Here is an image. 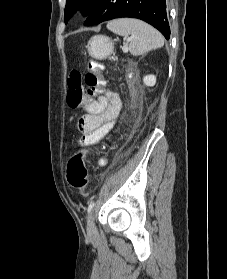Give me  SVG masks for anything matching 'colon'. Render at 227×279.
<instances>
[{
  "label": "colon",
  "mask_w": 227,
  "mask_h": 279,
  "mask_svg": "<svg viewBox=\"0 0 227 279\" xmlns=\"http://www.w3.org/2000/svg\"><path fill=\"white\" fill-rule=\"evenodd\" d=\"M103 84L104 78L100 72L99 62L95 59L89 60L88 72L85 76H82L79 71H72L69 74V93L66 98L68 105L77 108L84 100L99 95ZM83 155L82 152L73 155L67 168L68 182L79 192H85L88 185V171Z\"/></svg>",
  "instance_id": "1"
}]
</instances>
